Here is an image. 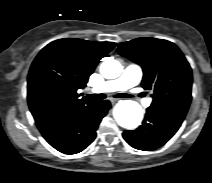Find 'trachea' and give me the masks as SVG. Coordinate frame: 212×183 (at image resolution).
<instances>
[{"instance_id":"3493384b","label":"trachea","mask_w":212,"mask_h":183,"mask_svg":"<svg viewBox=\"0 0 212 183\" xmlns=\"http://www.w3.org/2000/svg\"><path fill=\"white\" fill-rule=\"evenodd\" d=\"M87 96L93 100H103L106 98L105 94H87ZM114 97L115 98H130L132 96L125 93H119L117 95H114Z\"/></svg>"}]
</instances>
